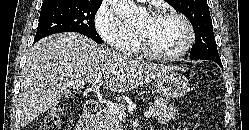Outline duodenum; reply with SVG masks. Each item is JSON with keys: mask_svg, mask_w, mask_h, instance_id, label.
I'll use <instances>...</instances> for the list:
<instances>
[{"mask_svg": "<svg viewBox=\"0 0 249 130\" xmlns=\"http://www.w3.org/2000/svg\"><path fill=\"white\" fill-rule=\"evenodd\" d=\"M101 112V106L95 99L88 100L83 109V114L77 125V130H97L98 116Z\"/></svg>", "mask_w": 249, "mask_h": 130, "instance_id": "duodenum-1", "label": "duodenum"}]
</instances>
